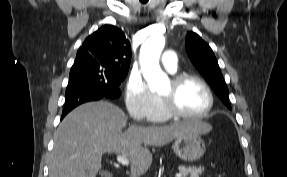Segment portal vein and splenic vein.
<instances>
[{
    "label": "portal vein and splenic vein",
    "mask_w": 287,
    "mask_h": 177,
    "mask_svg": "<svg viewBox=\"0 0 287 177\" xmlns=\"http://www.w3.org/2000/svg\"><path fill=\"white\" fill-rule=\"evenodd\" d=\"M117 162L124 165L128 166L129 165V160L126 156L124 155H117ZM183 175L181 173L177 174L176 177H182Z\"/></svg>",
    "instance_id": "obj_1"
}]
</instances>
